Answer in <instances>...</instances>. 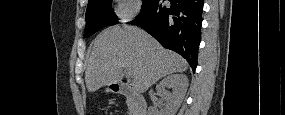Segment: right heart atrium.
I'll use <instances>...</instances> for the list:
<instances>
[{
  "label": "right heart atrium",
  "instance_id": "right-heart-atrium-1",
  "mask_svg": "<svg viewBox=\"0 0 285 115\" xmlns=\"http://www.w3.org/2000/svg\"><path fill=\"white\" fill-rule=\"evenodd\" d=\"M140 10V2L136 0H122L118 4V17L123 21L134 18Z\"/></svg>",
  "mask_w": 285,
  "mask_h": 115
}]
</instances>
